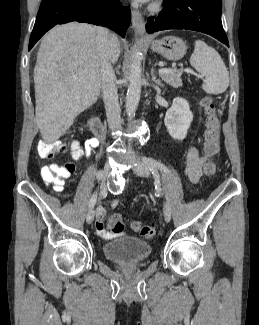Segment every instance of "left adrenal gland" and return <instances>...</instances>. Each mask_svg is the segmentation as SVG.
<instances>
[{"mask_svg":"<svg viewBox=\"0 0 259 325\" xmlns=\"http://www.w3.org/2000/svg\"><path fill=\"white\" fill-rule=\"evenodd\" d=\"M151 76H152V81L157 85V88L163 87V84L161 83V81L156 79V76L154 74V68H152V70H151Z\"/></svg>","mask_w":259,"mask_h":325,"instance_id":"left-adrenal-gland-1","label":"left adrenal gland"}]
</instances>
